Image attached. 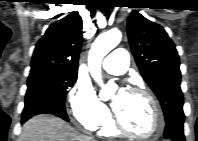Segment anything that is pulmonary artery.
<instances>
[{
    "instance_id": "1",
    "label": "pulmonary artery",
    "mask_w": 198,
    "mask_h": 141,
    "mask_svg": "<svg viewBox=\"0 0 198 141\" xmlns=\"http://www.w3.org/2000/svg\"><path fill=\"white\" fill-rule=\"evenodd\" d=\"M128 67L129 54L124 48L114 49L103 61V68L111 74H123Z\"/></svg>"
}]
</instances>
